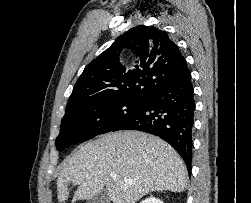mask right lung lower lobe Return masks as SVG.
<instances>
[{
    "label": "right lung lower lobe",
    "instance_id": "1",
    "mask_svg": "<svg viewBox=\"0 0 251 203\" xmlns=\"http://www.w3.org/2000/svg\"><path fill=\"white\" fill-rule=\"evenodd\" d=\"M195 100L188 70L144 101L143 106L120 122L112 131L139 130L159 136L183 158L191 172Z\"/></svg>",
    "mask_w": 251,
    "mask_h": 203
}]
</instances>
